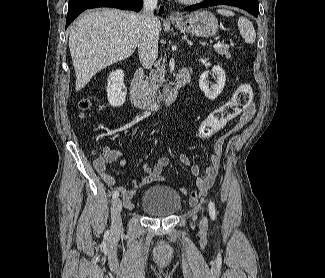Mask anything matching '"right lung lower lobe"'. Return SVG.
I'll list each match as a JSON object with an SVG mask.
<instances>
[{"label":"right lung lower lobe","instance_id":"obj_1","mask_svg":"<svg viewBox=\"0 0 325 278\" xmlns=\"http://www.w3.org/2000/svg\"><path fill=\"white\" fill-rule=\"evenodd\" d=\"M142 3L143 0H70L65 29L81 12L86 9L113 7L123 10L140 11ZM162 10L163 8H161V11Z\"/></svg>","mask_w":325,"mask_h":278}]
</instances>
